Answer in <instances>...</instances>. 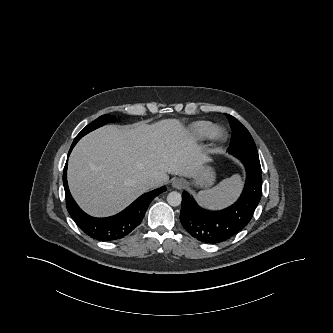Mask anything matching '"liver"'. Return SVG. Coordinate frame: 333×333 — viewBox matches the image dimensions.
<instances>
[{"instance_id":"6515ba94","label":"liver","mask_w":333,"mask_h":333,"mask_svg":"<svg viewBox=\"0 0 333 333\" xmlns=\"http://www.w3.org/2000/svg\"><path fill=\"white\" fill-rule=\"evenodd\" d=\"M207 160L176 119L152 125H107L83 137L68 163V184L79 206L96 217L118 213L169 180L197 177ZM148 179L156 183L151 186Z\"/></svg>"}]
</instances>
